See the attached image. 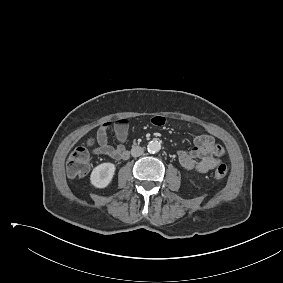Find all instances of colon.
Instances as JSON below:
<instances>
[{"label":"colon","mask_w":283,"mask_h":283,"mask_svg":"<svg viewBox=\"0 0 283 283\" xmlns=\"http://www.w3.org/2000/svg\"><path fill=\"white\" fill-rule=\"evenodd\" d=\"M93 141L89 140L88 145H92ZM90 168V155L86 147L80 146L74 149L67 161V174L71 177H78L85 175ZM227 167L225 165H219L214 172L217 179H223L227 175Z\"/></svg>","instance_id":"5ec220e1"}]
</instances>
